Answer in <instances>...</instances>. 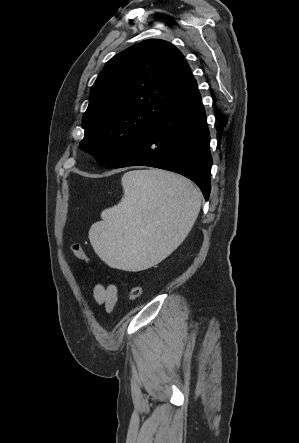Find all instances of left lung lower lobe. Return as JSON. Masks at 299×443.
<instances>
[{
    "instance_id": "0a47b994",
    "label": "left lung lower lobe",
    "mask_w": 299,
    "mask_h": 443,
    "mask_svg": "<svg viewBox=\"0 0 299 443\" xmlns=\"http://www.w3.org/2000/svg\"><path fill=\"white\" fill-rule=\"evenodd\" d=\"M210 134L194 78L112 168L150 166L194 181L205 200L211 190Z\"/></svg>"
}]
</instances>
